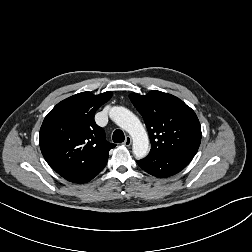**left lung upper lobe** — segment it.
Here are the masks:
<instances>
[{
    "mask_svg": "<svg viewBox=\"0 0 252 252\" xmlns=\"http://www.w3.org/2000/svg\"><path fill=\"white\" fill-rule=\"evenodd\" d=\"M129 98L142 115L151 140L148 156L178 154L193 158L201 142L195 112L179 98L160 91Z\"/></svg>",
    "mask_w": 252,
    "mask_h": 252,
    "instance_id": "1",
    "label": "left lung upper lobe"
}]
</instances>
